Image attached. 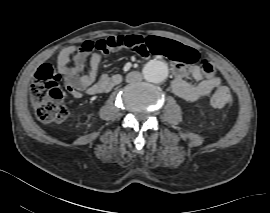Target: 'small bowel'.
<instances>
[{"mask_svg": "<svg viewBox=\"0 0 270 213\" xmlns=\"http://www.w3.org/2000/svg\"><path fill=\"white\" fill-rule=\"evenodd\" d=\"M158 42L167 47L161 50L158 46L146 44L142 49L136 43V54L148 56L153 52H161L172 60L174 79L172 87L175 93L184 100L195 101L208 95L222 82L216 74L213 65L212 71L206 74L198 66V52L189 47L168 39H158ZM128 47L127 36L114 35L99 41L84 40L77 45H70L62 49L58 57V68L64 77L66 90L74 97L80 98L83 92L97 95L109 91L121 82L119 74H98L100 64L105 55ZM89 61V71L85 65ZM72 61V65L68 62ZM69 73V75H66ZM191 76L197 83L192 84L184 80Z\"/></svg>", "mask_w": 270, "mask_h": 213, "instance_id": "obj_1", "label": "small bowel"}]
</instances>
